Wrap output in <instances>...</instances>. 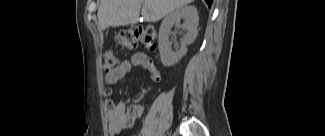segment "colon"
Listing matches in <instances>:
<instances>
[{"mask_svg": "<svg viewBox=\"0 0 325 136\" xmlns=\"http://www.w3.org/2000/svg\"><path fill=\"white\" fill-rule=\"evenodd\" d=\"M116 42L129 50H135L140 46L148 50H154L157 43V34L152 26H131L117 33ZM119 63L120 60L113 50L105 51L103 69L106 72L115 69Z\"/></svg>", "mask_w": 325, "mask_h": 136, "instance_id": "obj_1", "label": "colon"}]
</instances>
